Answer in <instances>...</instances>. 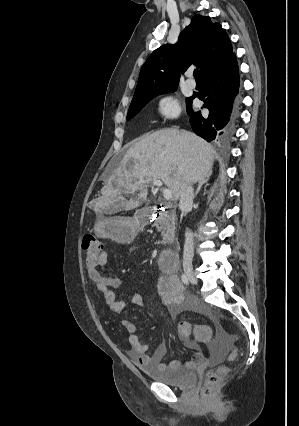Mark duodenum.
Instances as JSON below:
<instances>
[{"instance_id": "1", "label": "duodenum", "mask_w": 299, "mask_h": 426, "mask_svg": "<svg viewBox=\"0 0 299 426\" xmlns=\"http://www.w3.org/2000/svg\"><path fill=\"white\" fill-rule=\"evenodd\" d=\"M156 210L153 208L152 212ZM159 268L164 272H173L178 265V254L174 249H167L163 251L158 259Z\"/></svg>"}]
</instances>
